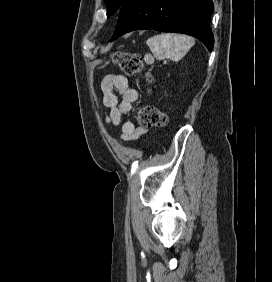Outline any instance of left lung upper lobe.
<instances>
[{
    "instance_id": "1",
    "label": "left lung upper lobe",
    "mask_w": 272,
    "mask_h": 282,
    "mask_svg": "<svg viewBox=\"0 0 272 282\" xmlns=\"http://www.w3.org/2000/svg\"><path fill=\"white\" fill-rule=\"evenodd\" d=\"M107 6V17L118 11L126 0H104Z\"/></svg>"
}]
</instances>
